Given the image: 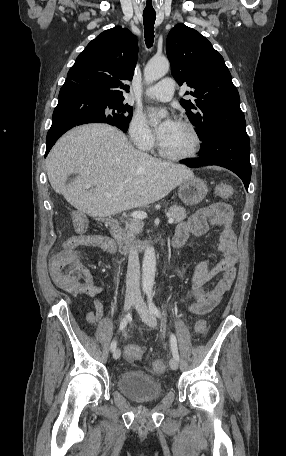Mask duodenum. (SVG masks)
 Instances as JSON below:
<instances>
[{
	"label": "duodenum",
	"instance_id": "obj_1",
	"mask_svg": "<svg viewBox=\"0 0 286 456\" xmlns=\"http://www.w3.org/2000/svg\"><path fill=\"white\" fill-rule=\"evenodd\" d=\"M107 224L110 233V239L122 253L127 254L131 252L145 251L150 246V244L147 242L131 243L125 240L118 221L111 219L108 220ZM185 242L186 238L182 234H178L174 235L171 238L169 245L173 248H180L185 244ZM157 244L164 246L166 243L164 241H158Z\"/></svg>",
	"mask_w": 286,
	"mask_h": 456
}]
</instances>
